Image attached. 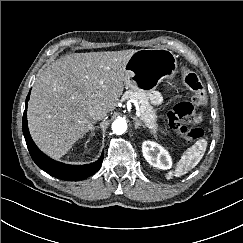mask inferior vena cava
<instances>
[{
  "label": "inferior vena cava",
  "instance_id": "1",
  "mask_svg": "<svg viewBox=\"0 0 243 243\" xmlns=\"http://www.w3.org/2000/svg\"><path fill=\"white\" fill-rule=\"evenodd\" d=\"M108 111L101 107V106H96L90 109L89 114L92 119L94 120H101L107 115Z\"/></svg>",
  "mask_w": 243,
  "mask_h": 243
}]
</instances>
